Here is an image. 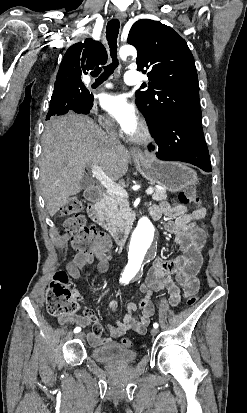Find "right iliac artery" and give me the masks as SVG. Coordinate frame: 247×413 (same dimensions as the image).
Here are the masks:
<instances>
[{"label":"right iliac artery","instance_id":"82829eb1","mask_svg":"<svg viewBox=\"0 0 247 413\" xmlns=\"http://www.w3.org/2000/svg\"><path fill=\"white\" fill-rule=\"evenodd\" d=\"M81 331V328L80 327H76L75 329H74V333H78V332H80Z\"/></svg>","mask_w":247,"mask_h":413}]
</instances>
